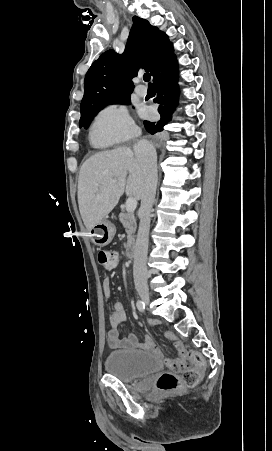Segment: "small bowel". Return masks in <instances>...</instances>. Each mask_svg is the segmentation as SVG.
Wrapping results in <instances>:
<instances>
[{
    "instance_id": "obj_1",
    "label": "small bowel",
    "mask_w": 272,
    "mask_h": 451,
    "mask_svg": "<svg viewBox=\"0 0 272 451\" xmlns=\"http://www.w3.org/2000/svg\"><path fill=\"white\" fill-rule=\"evenodd\" d=\"M102 288L104 295L110 299L112 296L111 280L109 277H104L102 281ZM126 321V311L122 302H115L113 311L110 314L109 322L110 329L107 332V343L110 348H134L152 351L157 356L161 357L163 352L161 348L154 344L153 338L146 335L144 342L140 343L135 334L130 333L127 336H121L120 327ZM165 336L172 340L174 348H185L181 340L173 332H166Z\"/></svg>"
}]
</instances>
